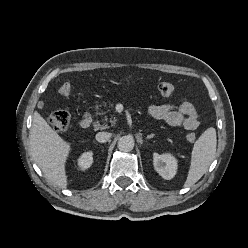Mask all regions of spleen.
I'll use <instances>...</instances> for the list:
<instances>
[{"mask_svg":"<svg viewBox=\"0 0 248 248\" xmlns=\"http://www.w3.org/2000/svg\"><path fill=\"white\" fill-rule=\"evenodd\" d=\"M216 130L208 128L195 142L184 187L194 185L208 170L216 154Z\"/></svg>","mask_w":248,"mask_h":248,"instance_id":"1","label":"spleen"}]
</instances>
